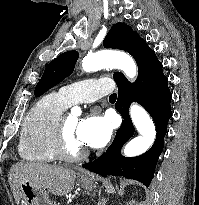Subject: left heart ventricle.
I'll return each mask as SVG.
<instances>
[{
    "instance_id": "obj_1",
    "label": "left heart ventricle",
    "mask_w": 199,
    "mask_h": 205,
    "mask_svg": "<svg viewBox=\"0 0 199 205\" xmlns=\"http://www.w3.org/2000/svg\"><path fill=\"white\" fill-rule=\"evenodd\" d=\"M80 120L78 116L68 115L66 119V143L70 150L84 148V145L78 138L77 130Z\"/></svg>"
}]
</instances>
